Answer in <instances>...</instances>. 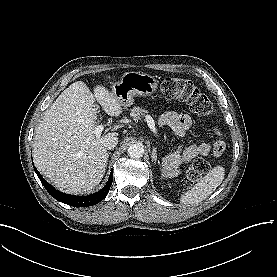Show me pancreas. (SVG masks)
Masks as SVG:
<instances>
[{
	"label": "pancreas",
	"instance_id": "1",
	"mask_svg": "<svg viewBox=\"0 0 277 277\" xmlns=\"http://www.w3.org/2000/svg\"><path fill=\"white\" fill-rule=\"evenodd\" d=\"M147 113V110L140 107H133L130 110V116L133 117L134 120H138L140 119V117H144Z\"/></svg>",
	"mask_w": 277,
	"mask_h": 277
}]
</instances>
